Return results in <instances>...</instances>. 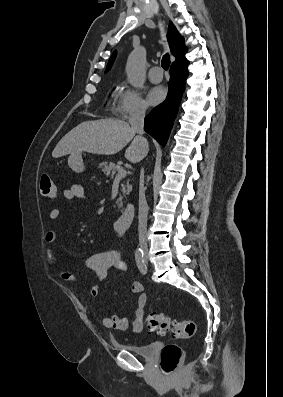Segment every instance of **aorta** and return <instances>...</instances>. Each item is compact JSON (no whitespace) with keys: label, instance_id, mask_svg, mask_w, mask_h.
<instances>
[{"label":"aorta","instance_id":"obj_1","mask_svg":"<svg viewBox=\"0 0 283 397\" xmlns=\"http://www.w3.org/2000/svg\"><path fill=\"white\" fill-rule=\"evenodd\" d=\"M146 50L143 47L134 50L128 57L126 74L128 81L136 88L144 85L146 77Z\"/></svg>","mask_w":283,"mask_h":397}]
</instances>
